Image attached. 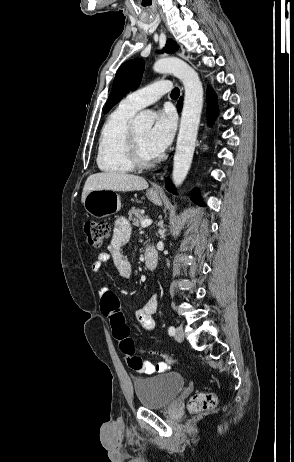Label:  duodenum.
Wrapping results in <instances>:
<instances>
[{"label": "duodenum", "instance_id": "1", "mask_svg": "<svg viewBox=\"0 0 294 462\" xmlns=\"http://www.w3.org/2000/svg\"><path fill=\"white\" fill-rule=\"evenodd\" d=\"M144 263L149 270H154L157 266L158 252L151 245H146L144 248Z\"/></svg>", "mask_w": 294, "mask_h": 462}]
</instances>
